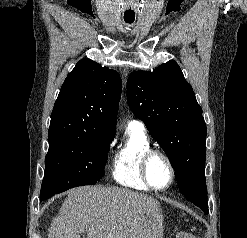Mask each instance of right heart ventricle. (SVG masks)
Listing matches in <instances>:
<instances>
[{
	"mask_svg": "<svg viewBox=\"0 0 247 238\" xmlns=\"http://www.w3.org/2000/svg\"><path fill=\"white\" fill-rule=\"evenodd\" d=\"M149 149L151 144L144 130L128 125L123 143L112 159L111 172L114 180L124 187L149 190L140 172L141 160Z\"/></svg>",
	"mask_w": 247,
	"mask_h": 238,
	"instance_id": "right-heart-ventricle-1",
	"label": "right heart ventricle"
}]
</instances>
